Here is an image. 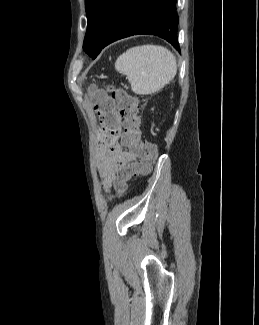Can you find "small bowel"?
<instances>
[{
    "mask_svg": "<svg viewBox=\"0 0 259 325\" xmlns=\"http://www.w3.org/2000/svg\"><path fill=\"white\" fill-rule=\"evenodd\" d=\"M137 161V155L122 141L121 126L120 129H113L112 133L106 132L103 136L98 160V170L104 189L111 188L114 176L119 170L135 164Z\"/></svg>",
    "mask_w": 259,
    "mask_h": 325,
    "instance_id": "1",
    "label": "small bowel"
}]
</instances>
